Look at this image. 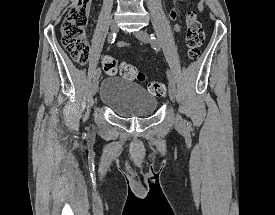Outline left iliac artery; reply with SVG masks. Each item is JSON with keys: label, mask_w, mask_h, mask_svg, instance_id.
<instances>
[{"label": "left iliac artery", "mask_w": 275, "mask_h": 215, "mask_svg": "<svg viewBox=\"0 0 275 215\" xmlns=\"http://www.w3.org/2000/svg\"><path fill=\"white\" fill-rule=\"evenodd\" d=\"M151 45L155 50L160 49V45L153 34H151ZM167 78L170 82L175 83L174 76L172 75V73L169 70L167 71Z\"/></svg>", "instance_id": "44dca946"}]
</instances>
